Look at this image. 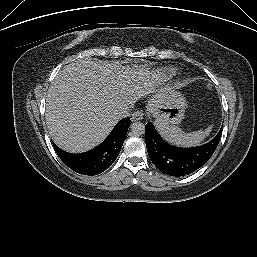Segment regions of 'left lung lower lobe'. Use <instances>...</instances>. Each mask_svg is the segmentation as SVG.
<instances>
[{
	"label": "left lung lower lobe",
	"mask_w": 257,
	"mask_h": 257,
	"mask_svg": "<svg viewBox=\"0 0 257 257\" xmlns=\"http://www.w3.org/2000/svg\"><path fill=\"white\" fill-rule=\"evenodd\" d=\"M222 128L209 142L191 148L168 144L158 134L151 122L146 124L145 138L148 155L153 164L164 174L185 176L202 167L216 150Z\"/></svg>",
	"instance_id": "left-lung-lower-lobe-1"
}]
</instances>
